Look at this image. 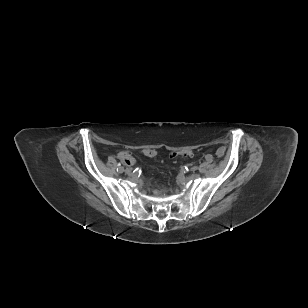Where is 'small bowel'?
<instances>
[{
    "label": "small bowel",
    "instance_id": "c3829d8e",
    "mask_svg": "<svg viewBox=\"0 0 308 308\" xmlns=\"http://www.w3.org/2000/svg\"><path fill=\"white\" fill-rule=\"evenodd\" d=\"M224 153H225V148H223V147H221V148H219L217 150V155L218 156H222V155H224Z\"/></svg>",
    "mask_w": 308,
    "mask_h": 308
}]
</instances>
